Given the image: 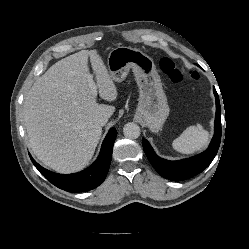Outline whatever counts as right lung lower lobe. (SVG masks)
Masks as SVG:
<instances>
[{"label": "right lung lower lobe", "mask_w": 249, "mask_h": 249, "mask_svg": "<svg viewBox=\"0 0 249 249\" xmlns=\"http://www.w3.org/2000/svg\"><path fill=\"white\" fill-rule=\"evenodd\" d=\"M116 136V130L111 128L103 141L96 161L84 171L74 174L63 175L51 172L36 163L30 154L29 156L39 172L58 188L68 192H85L98 187L104 181L110 166Z\"/></svg>", "instance_id": "98d812e1"}]
</instances>
